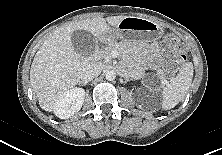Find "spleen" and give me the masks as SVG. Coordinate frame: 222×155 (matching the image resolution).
<instances>
[{
	"label": "spleen",
	"instance_id": "1",
	"mask_svg": "<svg viewBox=\"0 0 222 155\" xmlns=\"http://www.w3.org/2000/svg\"><path fill=\"white\" fill-rule=\"evenodd\" d=\"M193 78V64L186 62L183 64L176 77L171 78L170 83H167L162 90V103L163 110L174 108L181 102L191 85Z\"/></svg>",
	"mask_w": 222,
	"mask_h": 155
}]
</instances>
